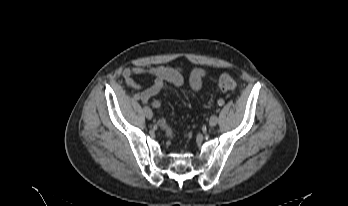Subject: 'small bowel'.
Here are the masks:
<instances>
[{"label": "small bowel", "mask_w": 348, "mask_h": 206, "mask_svg": "<svg viewBox=\"0 0 348 206\" xmlns=\"http://www.w3.org/2000/svg\"><path fill=\"white\" fill-rule=\"evenodd\" d=\"M150 75L153 77V83L150 87L144 89L139 94V97L144 103H148L152 97L157 95L164 87L165 82H169L174 86L183 84V76L181 72L172 67L156 66L145 68L142 66H134L123 70V77L128 88L139 89L140 85L136 82L137 75ZM209 75V72L202 68L194 69L189 78V85L193 91H199L202 88L204 78Z\"/></svg>", "instance_id": "small-bowel-1"}]
</instances>
